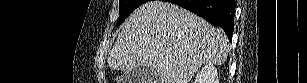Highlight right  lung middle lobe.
I'll return each instance as SVG.
<instances>
[{
    "instance_id": "1",
    "label": "right lung middle lobe",
    "mask_w": 307,
    "mask_h": 83,
    "mask_svg": "<svg viewBox=\"0 0 307 83\" xmlns=\"http://www.w3.org/2000/svg\"><path fill=\"white\" fill-rule=\"evenodd\" d=\"M147 1L148 0H120V17L117 24H121L137 7L146 3Z\"/></svg>"
}]
</instances>
